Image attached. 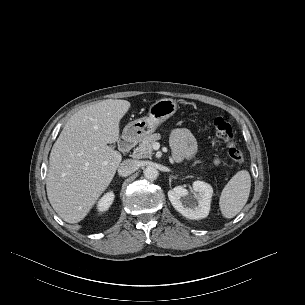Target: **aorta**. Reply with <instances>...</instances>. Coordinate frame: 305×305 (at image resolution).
<instances>
[{"label": "aorta", "instance_id": "1", "mask_svg": "<svg viewBox=\"0 0 305 305\" xmlns=\"http://www.w3.org/2000/svg\"><path fill=\"white\" fill-rule=\"evenodd\" d=\"M143 173L144 177L148 180H155L158 177V170L153 166H147Z\"/></svg>", "mask_w": 305, "mask_h": 305}]
</instances>
